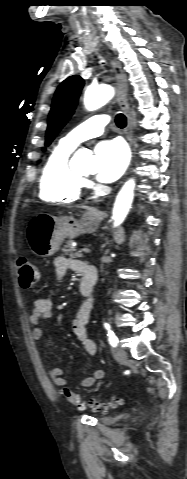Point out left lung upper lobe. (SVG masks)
Wrapping results in <instances>:
<instances>
[{
    "instance_id": "obj_1",
    "label": "left lung upper lobe",
    "mask_w": 187,
    "mask_h": 479,
    "mask_svg": "<svg viewBox=\"0 0 187 479\" xmlns=\"http://www.w3.org/2000/svg\"><path fill=\"white\" fill-rule=\"evenodd\" d=\"M83 85L84 80L74 75L64 80L57 88L49 113L46 146L52 142L73 114Z\"/></svg>"
}]
</instances>
